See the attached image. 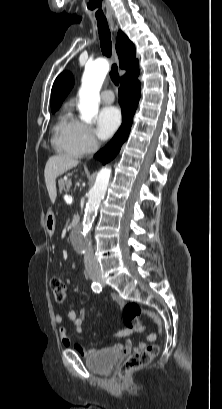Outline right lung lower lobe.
<instances>
[{
	"label": "right lung lower lobe",
	"instance_id": "right-lung-lower-lobe-1",
	"mask_svg": "<svg viewBox=\"0 0 222 409\" xmlns=\"http://www.w3.org/2000/svg\"><path fill=\"white\" fill-rule=\"evenodd\" d=\"M137 76L138 74L132 75L121 82L119 103L122 108V125L112 140L95 155L103 164L111 161L117 155L130 133L133 115L140 99V83Z\"/></svg>",
	"mask_w": 222,
	"mask_h": 409
}]
</instances>
